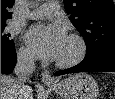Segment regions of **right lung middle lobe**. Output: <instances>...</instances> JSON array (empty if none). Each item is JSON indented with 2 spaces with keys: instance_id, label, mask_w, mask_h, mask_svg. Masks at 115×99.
Segmentation results:
<instances>
[{
  "instance_id": "dd1d6c3e",
  "label": "right lung middle lobe",
  "mask_w": 115,
  "mask_h": 99,
  "mask_svg": "<svg viewBox=\"0 0 115 99\" xmlns=\"http://www.w3.org/2000/svg\"><path fill=\"white\" fill-rule=\"evenodd\" d=\"M6 23H1V48L9 49L14 46V42L10 39V34L5 32Z\"/></svg>"
}]
</instances>
